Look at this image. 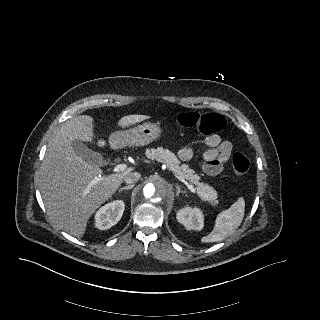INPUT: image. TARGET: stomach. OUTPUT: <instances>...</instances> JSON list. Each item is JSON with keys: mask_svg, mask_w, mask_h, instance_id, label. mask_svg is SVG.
Segmentation results:
<instances>
[{"mask_svg": "<svg viewBox=\"0 0 320 320\" xmlns=\"http://www.w3.org/2000/svg\"><path fill=\"white\" fill-rule=\"evenodd\" d=\"M161 134L162 129L157 124L144 123L116 132L111 140L118 146H144L159 139Z\"/></svg>", "mask_w": 320, "mask_h": 320, "instance_id": "stomach-1", "label": "stomach"}]
</instances>
